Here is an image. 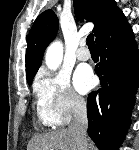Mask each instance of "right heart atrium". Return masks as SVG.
<instances>
[{
	"label": "right heart atrium",
	"instance_id": "d8ad5b80",
	"mask_svg": "<svg viewBox=\"0 0 139 150\" xmlns=\"http://www.w3.org/2000/svg\"><path fill=\"white\" fill-rule=\"evenodd\" d=\"M34 90L38 105L52 126L65 125L86 109L84 99L73 89L65 71L41 73Z\"/></svg>",
	"mask_w": 139,
	"mask_h": 150
}]
</instances>
